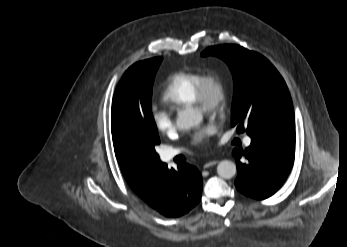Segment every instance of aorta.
<instances>
[{"instance_id":"obj_1","label":"aorta","mask_w":347,"mask_h":247,"mask_svg":"<svg viewBox=\"0 0 347 247\" xmlns=\"http://www.w3.org/2000/svg\"><path fill=\"white\" fill-rule=\"evenodd\" d=\"M202 121V114L193 108L185 109L179 112L176 125L180 130H187L197 126ZM237 168L234 162L222 160L217 166V173L221 178L230 179L236 174Z\"/></svg>"}]
</instances>
